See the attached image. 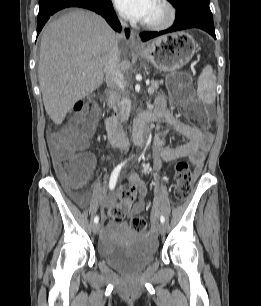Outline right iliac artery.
<instances>
[{
	"mask_svg": "<svg viewBox=\"0 0 261 306\" xmlns=\"http://www.w3.org/2000/svg\"><path fill=\"white\" fill-rule=\"evenodd\" d=\"M125 163H126V161H124L121 164H119L117 167H115V169L111 173V177H110V181H109V188H110V190H113L115 188L116 182H117V178H118L119 173H120V170L124 166ZM98 221H99V217L95 216L94 223H98Z\"/></svg>",
	"mask_w": 261,
	"mask_h": 306,
	"instance_id": "1",
	"label": "right iliac artery"
}]
</instances>
